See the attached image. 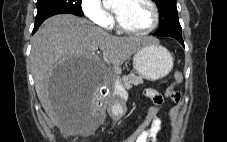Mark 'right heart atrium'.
<instances>
[{
	"label": "right heart atrium",
	"mask_w": 227,
	"mask_h": 142,
	"mask_svg": "<svg viewBox=\"0 0 227 142\" xmlns=\"http://www.w3.org/2000/svg\"><path fill=\"white\" fill-rule=\"evenodd\" d=\"M81 9L86 18L95 25L107 28L111 24V15L100 0H81Z\"/></svg>",
	"instance_id": "1"
}]
</instances>
